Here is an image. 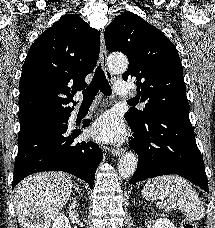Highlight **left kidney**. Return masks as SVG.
Wrapping results in <instances>:
<instances>
[{"label":"left kidney","mask_w":215,"mask_h":228,"mask_svg":"<svg viewBox=\"0 0 215 228\" xmlns=\"http://www.w3.org/2000/svg\"><path fill=\"white\" fill-rule=\"evenodd\" d=\"M151 224H153L152 228H176L170 220L167 218H159V220H155V222H148V228H151Z\"/></svg>","instance_id":"left-kidney-1"}]
</instances>
